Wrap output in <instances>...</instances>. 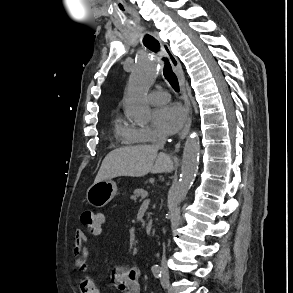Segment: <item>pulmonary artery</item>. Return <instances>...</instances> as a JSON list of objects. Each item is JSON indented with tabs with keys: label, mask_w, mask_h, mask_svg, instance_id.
<instances>
[{
	"label": "pulmonary artery",
	"mask_w": 293,
	"mask_h": 293,
	"mask_svg": "<svg viewBox=\"0 0 293 293\" xmlns=\"http://www.w3.org/2000/svg\"><path fill=\"white\" fill-rule=\"evenodd\" d=\"M148 100L153 104H165L169 101L170 95L163 90H155L148 94Z\"/></svg>",
	"instance_id": "obj_1"
}]
</instances>
